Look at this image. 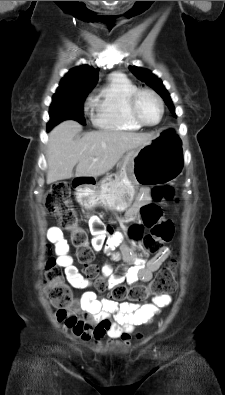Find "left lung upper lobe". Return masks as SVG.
Instances as JSON below:
<instances>
[{
  "instance_id": "5c2ea615",
  "label": "left lung upper lobe",
  "mask_w": 225,
  "mask_h": 395,
  "mask_svg": "<svg viewBox=\"0 0 225 395\" xmlns=\"http://www.w3.org/2000/svg\"><path fill=\"white\" fill-rule=\"evenodd\" d=\"M129 69L138 79L144 81L146 84L152 87L165 100L171 112L175 114V109L170 95L159 78H157L147 69L139 68L136 66H129Z\"/></svg>"
}]
</instances>
